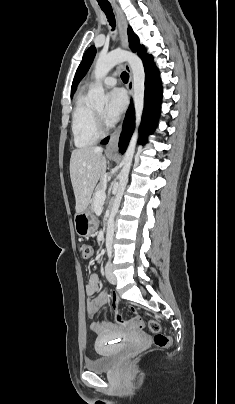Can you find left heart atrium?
I'll return each mask as SVG.
<instances>
[{
	"label": "left heart atrium",
	"instance_id": "obj_1",
	"mask_svg": "<svg viewBox=\"0 0 235 404\" xmlns=\"http://www.w3.org/2000/svg\"><path fill=\"white\" fill-rule=\"evenodd\" d=\"M127 106V97L123 90L114 89L108 95V104L104 116L109 122L117 121Z\"/></svg>",
	"mask_w": 235,
	"mask_h": 404
}]
</instances>
